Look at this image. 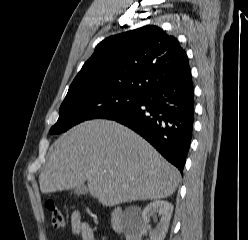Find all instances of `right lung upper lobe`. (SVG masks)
Here are the masks:
<instances>
[{
  "label": "right lung upper lobe",
  "mask_w": 248,
  "mask_h": 240,
  "mask_svg": "<svg viewBox=\"0 0 248 240\" xmlns=\"http://www.w3.org/2000/svg\"><path fill=\"white\" fill-rule=\"evenodd\" d=\"M191 72L178 40L161 28L147 25L100 42L69 90L119 89L145 95Z\"/></svg>",
  "instance_id": "right-lung-upper-lobe-1"
}]
</instances>
